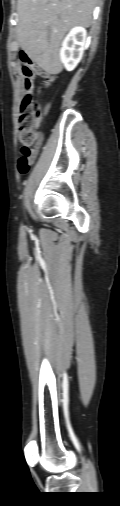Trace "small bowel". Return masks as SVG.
Instances as JSON below:
<instances>
[{
    "label": "small bowel",
    "instance_id": "1",
    "mask_svg": "<svg viewBox=\"0 0 120 506\" xmlns=\"http://www.w3.org/2000/svg\"><path fill=\"white\" fill-rule=\"evenodd\" d=\"M32 89H33V85L30 87L29 91H31ZM48 109H49V106H48V105H46V106L44 107V111H45V112H47V111H48Z\"/></svg>",
    "mask_w": 120,
    "mask_h": 506
}]
</instances>
